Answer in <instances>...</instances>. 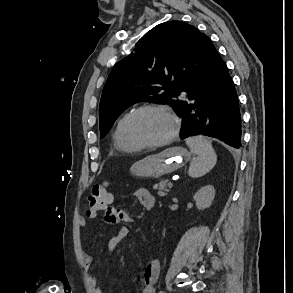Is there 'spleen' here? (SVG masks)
I'll list each match as a JSON object with an SVG mask.
<instances>
[{
  "mask_svg": "<svg viewBox=\"0 0 293 293\" xmlns=\"http://www.w3.org/2000/svg\"><path fill=\"white\" fill-rule=\"evenodd\" d=\"M186 144L196 156L190 163L189 175L198 178L208 173L217 162L211 142L203 136H193L186 139Z\"/></svg>",
  "mask_w": 293,
  "mask_h": 293,
  "instance_id": "3e777b00",
  "label": "spleen"
}]
</instances>
